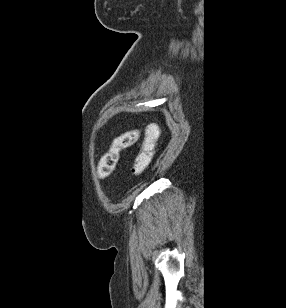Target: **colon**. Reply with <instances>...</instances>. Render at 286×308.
<instances>
[{
  "label": "colon",
  "instance_id": "colon-1",
  "mask_svg": "<svg viewBox=\"0 0 286 308\" xmlns=\"http://www.w3.org/2000/svg\"><path fill=\"white\" fill-rule=\"evenodd\" d=\"M140 138V130H129L114 139L109 150L102 156L98 165V174L101 178L108 177L115 169L120 153L122 150L133 146ZM155 141L154 139L144 140L131 168V175L133 177L141 176L153 157Z\"/></svg>",
  "mask_w": 286,
  "mask_h": 308
}]
</instances>
